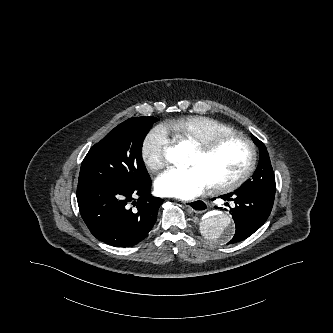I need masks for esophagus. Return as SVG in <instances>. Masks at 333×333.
<instances>
[{
    "instance_id": "esophagus-1",
    "label": "esophagus",
    "mask_w": 333,
    "mask_h": 333,
    "mask_svg": "<svg viewBox=\"0 0 333 333\" xmlns=\"http://www.w3.org/2000/svg\"><path fill=\"white\" fill-rule=\"evenodd\" d=\"M184 205L195 213H203L207 210V204L203 200L186 201Z\"/></svg>"
}]
</instances>
